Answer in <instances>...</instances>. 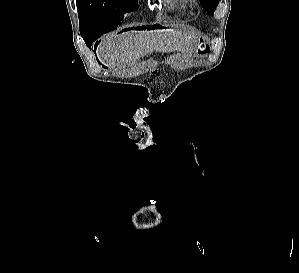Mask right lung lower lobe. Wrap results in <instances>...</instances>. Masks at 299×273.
<instances>
[{"instance_id":"98d812e1","label":"right lung lower lobe","mask_w":299,"mask_h":273,"mask_svg":"<svg viewBox=\"0 0 299 273\" xmlns=\"http://www.w3.org/2000/svg\"><path fill=\"white\" fill-rule=\"evenodd\" d=\"M103 33L102 32H91L86 35H81L86 43V45L91 49V44L96 41ZM98 41L95 43V45Z\"/></svg>"}]
</instances>
